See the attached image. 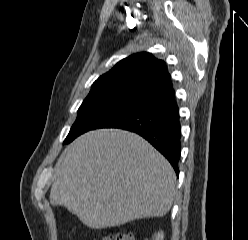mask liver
<instances>
[{"label": "liver", "instance_id": "6515ba94", "mask_svg": "<svg viewBox=\"0 0 248 240\" xmlns=\"http://www.w3.org/2000/svg\"><path fill=\"white\" fill-rule=\"evenodd\" d=\"M170 163L137 134L119 129L87 132L60 156L50 191L92 229L162 217L176 193Z\"/></svg>", "mask_w": 248, "mask_h": 240}]
</instances>
